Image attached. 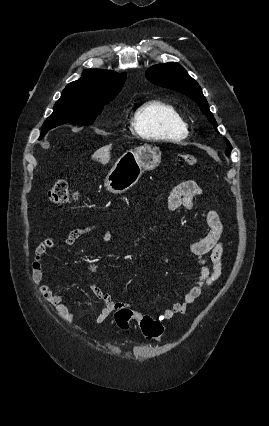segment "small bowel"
<instances>
[{"label": "small bowel", "instance_id": "small-bowel-1", "mask_svg": "<svg viewBox=\"0 0 269 426\" xmlns=\"http://www.w3.org/2000/svg\"><path fill=\"white\" fill-rule=\"evenodd\" d=\"M202 193V189L194 181L188 180L178 184L167 197V207L171 212H175L180 208L193 210L196 207V198ZM203 220L209 228L208 234L196 241L190 243L188 247L189 254L194 257L199 264V274L195 283L190 287L181 301L175 302L171 307L161 312L157 318L164 322L168 321L176 315L184 314L189 305L194 303L201 294L215 283L222 273V256L223 244L220 241L224 231V225L219 215L213 210H207L203 214ZM96 228L95 224L88 225L72 230L65 239V244L71 246L83 235L89 233ZM101 239L103 242H109L112 239V233L104 230ZM55 242L51 238L44 239L35 249L34 257L31 263L32 281L38 286L41 296L52 305L56 312L65 316L68 314V308L64 302L63 296L54 293L49 284H42L45 277L43 258L45 254L53 249ZM209 254V260L206 255ZM88 269L91 272L97 270L95 263H90ZM94 295L103 302L104 307L96 317L97 323H103L118 308L126 306V303L118 302L105 292L96 283L92 284ZM143 314L135 312L134 321L138 322Z\"/></svg>", "mask_w": 269, "mask_h": 426}]
</instances>
